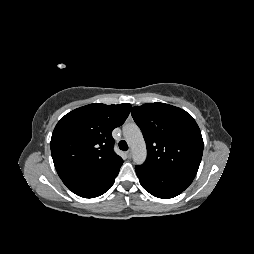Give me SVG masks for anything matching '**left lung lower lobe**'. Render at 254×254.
Masks as SVG:
<instances>
[{"mask_svg": "<svg viewBox=\"0 0 254 254\" xmlns=\"http://www.w3.org/2000/svg\"><path fill=\"white\" fill-rule=\"evenodd\" d=\"M135 171L142 187L153 196L163 199L179 195L193 181L186 177L161 173L144 165L136 166Z\"/></svg>", "mask_w": 254, "mask_h": 254, "instance_id": "obj_1", "label": "left lung lower lobe"}]
</instances>
